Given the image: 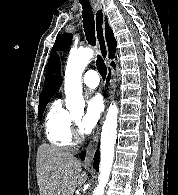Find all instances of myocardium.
<instances>
[{
    "label": "myocardium",
    "mask_w": 178,
    "mask_h": 195,
    "mask_svg": "<svg viewBox=\"0 0 178 195\" xmlns=\"http://www.w3.org/2000/svg\"><path fill=\"white\" fill-rule=\"evenodd\" d=\"M75 135H76V137H78V136H79V133H78V132H76V133H75Z\"/></svg>",
    "instance_id": "obj_1"
}]
</instances>
